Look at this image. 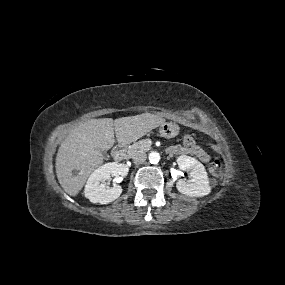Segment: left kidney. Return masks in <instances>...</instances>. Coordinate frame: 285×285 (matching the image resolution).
<instances>
[{
  "instance_id": "obj_1",
  "label": "left kidney",
  "mask_w": 285,
  "mask_h": 285,
  "mask_svg": "<svg viewBox=\"0 0 285 285\" xmlns=\"http://www.w3.org/2000/svg\"><path fill=\"white\" fill-rule=\"evenodd\" d=\"M177 164L181 170H190L191 179L185 181L180 179L176 183L178 191L187 196L202 197L210 193L211 187L205 167L195 158L190 156H179Z\"/></svg>"
}]
</instances>
